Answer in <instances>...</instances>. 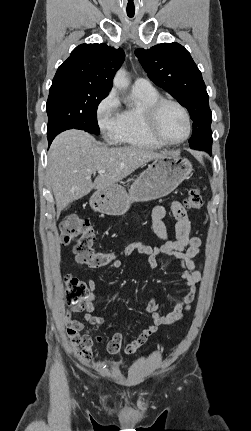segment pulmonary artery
<instances>
[{"label": "pulmonary artery", "mask_w": 251, "mask_h": 431, "mask_svg": "<svg viewBox=\"0 0 251 431\" xmlns=\"http://www.w3.org/2000/svg\"><path fill=\"white\" fill-rule=\"evenodd\" d=\"M134 90H151L153 86L151 82L145 78H136L133 83Z\"/></svg>", "instance_id": "e3ab8cb5"}]
</instances>
